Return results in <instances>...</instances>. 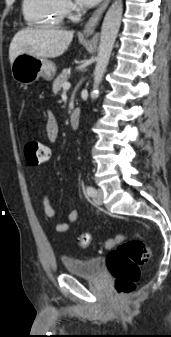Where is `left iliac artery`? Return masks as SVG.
Listing matches in <instances>:
<instances>
[{
	"label": "left iliac artery",
	"mask_w": 171,
	"mask_h": 337,
	"mask_svg": "<svg viewBox=\"0 0 171 337\" xmlns=\"http://www.w3.org/2000/svg\"><path fill=\"white\" fill-rule=\"evenodd\" d=\"M86 193H87L88 196L93 197V196L96 195V190H95L94 187L88 186V187L86 188Z\"/></svg>",
	"instance_id": "left-iliac-artery-1"
}]
</instances>
